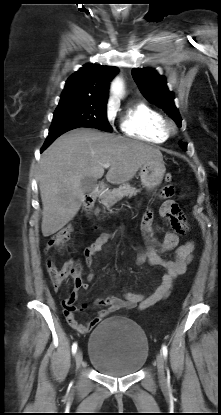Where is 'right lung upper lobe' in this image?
<instances>
[{
	"mask_svg": "<svg viewBox=\"0 0 221 415\" xmlns=\"http://www.w3.org/2000/svg\"><path fill=\"white\" fill-rule=\"evenodd\" d=\"M117 72V67L88 63L68 78L61 97L107 101L109 82Z\"/></svg>",
	"mask_w": 221,
	"mask_h": 415,
	"instance_id": "obj_1",
	"label": "right lung upper lobe"
}]
</instances>
